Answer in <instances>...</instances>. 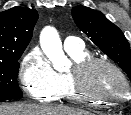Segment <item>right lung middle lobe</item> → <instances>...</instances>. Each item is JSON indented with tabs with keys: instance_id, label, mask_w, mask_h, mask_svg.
I'll return each mask as SVG.
<instances>
[{
	"instance_id": "right-lung-middle-lobe-1",
	"label": "right lung middle lobe",
	"mask_w": 131,
	"mask_h": 115,
	"mask_svg": "<svg viewBox=\"0 0 131 115\" xmlns=\"http://www.w3.org/2000/svg\"><path fill=\"white\" fill-rule=\"evenodd\" d=\"M23 51L11 54L6 59H0V101L22 98L17 77L19 70V58Z\"/></svg>"
}]
</instances>
